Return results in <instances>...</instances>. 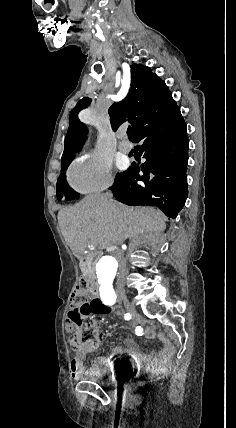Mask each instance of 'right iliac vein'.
<instances>
[{
    "instance_id": "right-iliac-vein-1",
    "label": "right iliac vein",
    "mask_w": 236,
    "mask_h": 428,
    "mask_svg": "<svg viewBox=\"0 0 236 428\" xmlns=\"http://www.w3.org/2000/svg\"><path fill=\"white\" fill-rule=\"evenodd\" d=\"M119 299L123 302V307H124V308H129V307H130V302H129V301H127L125 297L120 296V297H119ZM136 319H137V316H136V315H133V316H132V320H131V321L133 322V323L131 324L133 327L136 325V324L134 323V322L136 321Z\"/></svg>"
}]
</instances>
